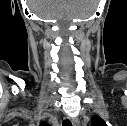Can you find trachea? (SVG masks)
<instances>
[{
  "instance_id": "trachea-1",
  "label": "trachea",
  "mask_w": 127,
  "mask_h": 126,
  "mask_svg": "<svg viewBox=\"0 0 127 126\" xmlns=\"http://www.w3.org/2000/svg\"><path fill=\"white\" fill-rule=\"evenodd\" d=\"M63 126H71L70 120L66 119L63 121Z\"/></svg>"
}]
</instances>
